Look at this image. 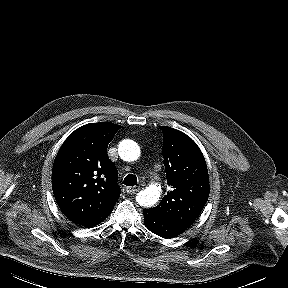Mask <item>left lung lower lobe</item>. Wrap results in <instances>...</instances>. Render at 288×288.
Instances as JSON below:
<instances>
[{
	"label": "left lung lower lobe",
	"instance_id": "1",
	"mask_svg": "<svg viewBox=\"0 0 288 288\" xmlns=\"http://www.w3.org/2000/svg\"><path fill=\"white\" fill-rule=\"evenodd\" d=\"M144 222L148 230L152 233L163 237L172 238L182 234L186 229L168 222L161 217L155 215L150 209L143 210Z\"/></svg>",
	"mask_w": 288,
	"mask_h": 288
}]
</instances>
